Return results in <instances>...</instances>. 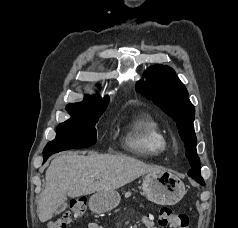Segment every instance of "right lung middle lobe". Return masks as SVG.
I'll list each match as a JSON object with an SVG mask.
<instances>
[{
	"instance_id": "dd1d6c3e",
	"label": "right lung middle lobe",
	"mask_w": 238,
	"mask_h": 228,
	"mask_svg": "<svg viewBox=\"0 0 238 228\" xmlns=\"http://www.w3.org/2000/svg\"><path fill=\"white\" fill-rule=\"evenodd\" d=\"M108 103L96 106L89 113H70L71 118L59 124L56 138L49 142L43 153H57L73 148H85L96 143L95 125Z\"/></svg>"
}]
</instances>
